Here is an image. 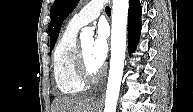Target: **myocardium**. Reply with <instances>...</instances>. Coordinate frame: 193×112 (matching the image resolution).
<instances>
[{"label":"myocardium","instance_id":"myocardium-1","mask_svg":"<svg viewBox=\"0 0 193 112\" xmlns=\"http://www.w3.org/2000/svg\"><path fill=\"white\" fill-rule=\"evenodd\" d=\"M75 70H76L78 78L84 84H91V83H95L99 81L105 72V69L102 66L96 73H91L88 70L86 62H85V57H84L81 43H78L76 47Z\"/></svg>","mask_w":193,"mask_h":112}]
</instances>
